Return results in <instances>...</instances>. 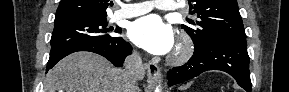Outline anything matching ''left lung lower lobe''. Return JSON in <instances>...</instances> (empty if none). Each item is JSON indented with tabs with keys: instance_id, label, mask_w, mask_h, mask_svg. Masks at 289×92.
<instances>
[{
	"instance_id": "obj_1",
	"label": "left lung lower lobe",
	"mask_w": 289,
	"mask_h": 92,
	"mask_svg": "<svg viewBox=\"0 0 289 92\" xmlns=\"http://www.w3.org/2000/svg\"><path fill=\"white\" fill-rule=\"evenodd\" d=\"M207 70H221L233 76L238 85L251 92L249 56L245 38L220 37L202 49L194 50V55L183 66L168 72L169 86L187 81Z\"/></svg>"
}]
</instances>
